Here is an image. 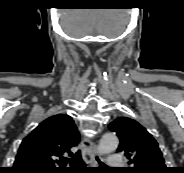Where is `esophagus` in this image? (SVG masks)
I'll list each match as a JSON object with an SVG mask.
<instances>
[{
  "label": "esophagus",
  "mask_w": 184,
  "mask_h": 173,
  "mask_svg": "<svg viewBox=\"0 0 184 173\" xmlns=\"http://www.w3.org/2000/svg\"><path fill=\"white\" fill-rule=\"evenodd\" d=\"M81 148L84 162L88 165H94L95 156L97 155V144L89 138L84 137L81 142Z\"/></svg>",
  "instance_id": "esophagus-1"
}]
</instances>
